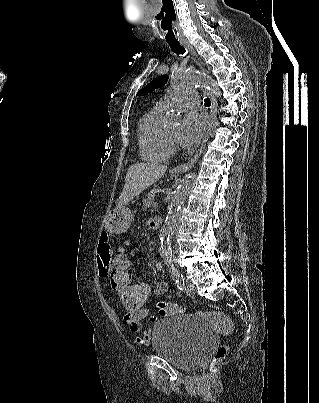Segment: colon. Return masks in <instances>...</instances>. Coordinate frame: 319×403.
<instances>
[{"label":"colon","instance_id":"1","mask_svg":"<svg viewBox=\"0 0 319 403\" xmlns=\"http://www.w3.org/2000/svg\"><path fill=\"white\" fill-rule=\"evenodd\" d=\"M135 259L132 253H117V259H113V282L109 287L117 291L116 297L122 304L123 313H147V291L151 290L150 282H131L130 268H135ZM182 313V308L173 302L160 301L157 303V314L153 317L156 321L160 317L177 315ZM151 339L150 330L137 338L140 345H147ZM229 354V347L220 346L211 360V372H216L217 365Z\"/></svg>","mask_w":319,"mask_h":403}]
</instances>
